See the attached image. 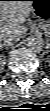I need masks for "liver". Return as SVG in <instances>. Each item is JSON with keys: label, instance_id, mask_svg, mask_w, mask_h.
<instances>
[{"label": "liver", "instance_id": "1", "mask_svg": "<svg viewBox=\"0 0 50 111\" xmlns=\"http://www.w3.org/2000/svg\"><path fill=\"white\" fill-rule=\"evenodd\" d=\"M0 16L5 24L1 25V37L7 33L25 32L22 24L32 12L33 2L31 0H8L0 3Z\"/></svg>", "mask_w": 50, "mask_h": 111}]
</instances>
